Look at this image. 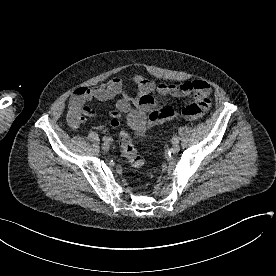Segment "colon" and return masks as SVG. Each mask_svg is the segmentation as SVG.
<instances>
[{"instance_id":"1","label":"colon","mask_w":276,"mask_h":276,"mask_svg":"<svg viewBox=\"0 0 276 276\" xmlns=\"http://www.w3.org/2000/svg\"><path fill=\"white\" fill-rule=\"evenodd\" d=\"M148 120H149V123L153 125L155 120V115H149ZM119 144H120V148L123 156L133 167L139 168L144 166L145 164L144 159L137 154L132 138L125 129H122L119 132Z\"/></svg>"}]
</instances>
